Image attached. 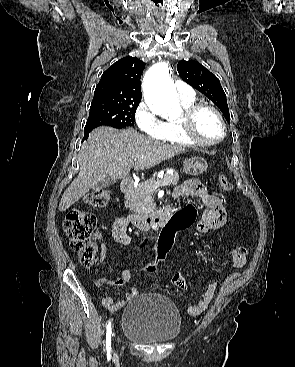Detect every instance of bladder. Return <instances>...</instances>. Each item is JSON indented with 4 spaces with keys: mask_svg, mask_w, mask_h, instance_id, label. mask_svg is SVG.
<instances>
[{
    "mask_svg": "<svg viewBox=\"0 0 295 367\" xmlns=\"http://www.w3.org/2000/svg\"><path fill=\"white\" fill-rule=\"evenodd\" d=\"M121 329L125 337L139 343H164L178 336L181 315L166 296L141 294L124 307Z\"/></svg>",
    "mask_w": 295,
    "mask_h": 367,
    "instance_id": "1",
    "label": "bladder"
}]
</instances>
